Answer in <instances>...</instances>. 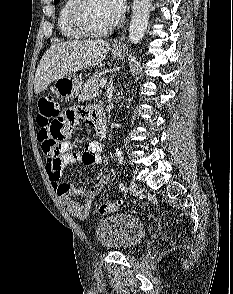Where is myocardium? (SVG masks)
I'll return each instance as SVG.
<instances>
[{
    "mask_svg": "<svg viewBox=\"0 0 233 294\" xmlns=\"http://www.w3.org/2000/svg\"><path fill=\"white\" fill-rule=\"evenodd\" d=\"M90 0H75L70 13V20L74 28L87 37H102L113 31L120 23V17L101 30H93L88 27L84 20V9Z\"/></svg>",
    "mask_w": 233,
    "mask_h": 294,
    "instance_id": "myocardium-1",
    "label": "myocardium"
}]
</instances>
